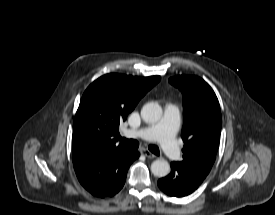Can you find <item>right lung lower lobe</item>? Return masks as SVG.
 <instances>
[{"label":"right lung lower lobe","mask_w":275,"mask_h":215,"mask_svg":"<svg viewBox=\"0 0 275 215\" xmlns=\"http://www.w3.org/2000/svg\"><path fill=\"white\" fill-rule=\"evenodd\" d=\"M139 157L136 150L101 153L75 169L81 185L97 197L113 196L123 187L128 168Z\"/></svg>","instance_id":"1"}]
</instances>
